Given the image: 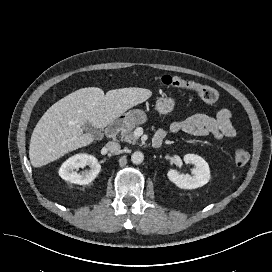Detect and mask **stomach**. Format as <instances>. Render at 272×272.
Wrapping results in <instances>:
<instances>
[{
  "instance_id": "1",
  "label": "stomach",
  "mask_w": 272,
  "mask_h": 272,
  "mask_svg": "<svg viewBox=\"0 0 272 272\" xmlns=\"http://www.w3.org/2000/svg\"><path fill=\"white\" fill-rule=\"evenodd\" d=\"M175 106V100L168 96L159 97L156 100L155 108L160 114L171 113ZM123 126L140 125L146 122L147 116L141 109L130 110L118 117Z\"/></svg>"
}]
</instances>
